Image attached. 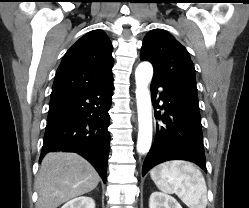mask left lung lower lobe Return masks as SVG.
Masks as SVG:
<instances>
[{
	"mask_svg": "<svg viewBox=\"0 0 249 208\" xmlns=\"http://www.w3.org/2000/svg\"><path fill=\"white\" fill-rule=\"evenodd\" d=\"M154 115L161 120L155 141L143 163L144 176L155 165L169 160H187L206 171L198 98L183 88L154 77L151 82ZM162 103V105H159Z\"/></svg>",
	"mask_w": 249,
	"mask_h": 208,
	"instance_id": "obj_1",
	"label": "left lung lower lobe"
}]
</instances>
